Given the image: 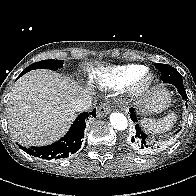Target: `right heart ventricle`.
<instances>
[{"label":"right heart ventricle","mask_w":196,"mask_h":196,"mask_svg":"<svg viewBox=\"0 0 196 196\" xmlns=\"http://www.w3.org/2000/svg\"><path fill=\"white\" fill-rule=\"evenodd\" d=\"M145 69L139 64L106 66L92 71L89 77L99 87L116 90L128 86Z\"/></svg>","instance_id":"e07e8e85"}]
</instances>
